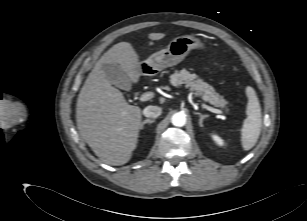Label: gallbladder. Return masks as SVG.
I'll list each match as a JSON object with an SVG mask.
<instances>
[{
	"mask_svg": "<svg viewBox=\"0 0 307 221\" xmlns=\"http://www.w3.org/2000/svg\"><path fill=\"white\" fill-rule=\"evenodd\" d=\"M103 73L107 81L124 90L131 88V81L118 64H103Z\"/></svg>",
	"mask_w": 307,
	"mask_h": 221,
	"instance_id": "1",
	"label": "gallbladder"
}]
</instances>
